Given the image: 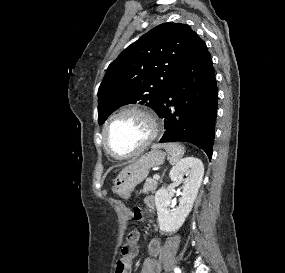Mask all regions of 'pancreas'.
I'll return each mask as SVG.
<instances>
[{
    "label": "pancreas",
    "instance_id": "cf45deb5",
    "mask_svg": "<svg viewBox=\"0 0 285 273\" xmlns=\"http://www.w3.org/2000/svg\"><path fill=\"white\" fill-rule=\"evenodd\" d=\"M158 182L156 179H147L143 186V193L148 194L149 192L155 193Z\"/></svg>",
    "mask_w": 285,
    "mask_h": 273
}]
</instances>
